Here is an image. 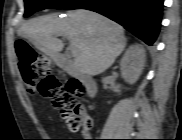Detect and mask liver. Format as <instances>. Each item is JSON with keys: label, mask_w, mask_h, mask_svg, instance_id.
<instances>
[{"label": "liver", "mask_w": 182, "mask_h": 140, "mask_svg": "<svg viewBox=\"0 0 182 140\" xmlns=\"http://www.w3.org/2000/svg\"><path fill=\"white\" fill-rule=\"evenodd\" d=\"M20 30L50 56H55L64 47L57 37L67 38L78 50L75 70L90 76L108 69L126 45L122 26L84 9L69 11L64 19L56 14L37 17L22 25Z\"/></svg>", "instance_id": "1"}]
</instances>
